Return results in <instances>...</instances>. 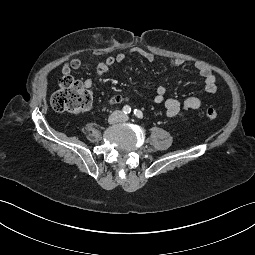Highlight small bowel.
Listing matches in <instances>:
<instances>
[{
  "label": "small bowel",
  "instance_id": "c3829d8e",
  "mask_svg": "<svg viewBox=\"0 0 255 255\" xmlns=\"http://www.w3.org/2000/svg\"><path fill=\"white\" fill-rule=\"evenodd\" d=\"M128 54L140 56L150 63L154 62L156 59L154 54L140 48H133L128 52ZM128 54L120 52L115 56H109L105 60L99 62L96 66L95 77L97 79L101 78L113 65L124 62ZM183 64L184 61L182 59H175L171 61V65L175 68H181ZM81 66L82 61L80 59L75 58L69 60L62 65V73L69 75L72 71L80 69ZM195 69L199 76L203 79L205 92L209 94L216 93L217 84L215 74L202 64H196ZM93 84L94 82L90 78L84 81V85L87 89H91ZM153 100L156 104H162L164 106L165 113L169 118L179 117L187 110H197L202 106L200 98L194 96L188 97L183 102H179L173 98H166V88L163 84H159L157 86ZM125 101H127L126 97L117 94L110 99V104H119Z\"/></svg>",
  "mask_w": 255,
  "mask_h": 255
}]
</instances>
